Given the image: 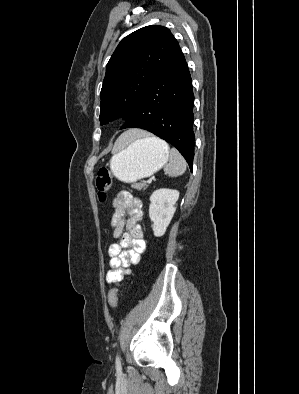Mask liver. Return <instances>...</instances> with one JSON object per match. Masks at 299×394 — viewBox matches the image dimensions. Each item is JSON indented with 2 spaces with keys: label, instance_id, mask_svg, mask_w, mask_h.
I'll return each instance as SVG.
<instances>
[{
  "label": "liver",
  "instance_id": "liver-1",
  "mask_svg": "<svg viewBox=\"0 0 299 394\" xmlns=\"http://www.w3.org/2000/svg\"><path fill=\"white\" fill-rule=\"evenodd\" d=\"M147 135L148 134L146 132H144V131H141V130H138V129H131V130L125 132L121 136L120 141H121L122 145H126V144H128L129 142H131V141H133L135 139H139V138L145 137Z\"/></svg>",
  "mask_w": 299,
  "mask_h": 394
}]
</instances>
